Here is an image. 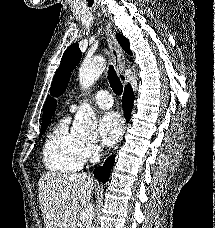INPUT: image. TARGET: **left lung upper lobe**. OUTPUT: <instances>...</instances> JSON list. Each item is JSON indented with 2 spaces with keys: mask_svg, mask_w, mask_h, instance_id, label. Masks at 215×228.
<instances>
[{
  "mask_svg": "<svg viewBox=\"0 0 215 228\" xmlns=\"http://www.w3.org/2000/svg\"><path fill=\"white\" fill-rule=\"evenodd\" d=\"M119 43L123 49L131 55L129 41L121 34L117 35ZM82 56L78 44L70 45L64 52L59 68L57 69L51 86V93L60 96L66 89L71 72L78 65Z\"/></svg>",
  "mask_w": 215,
  "mask_h": 228,
  "instance_id": "5c2ea615",
  "label": "left lung upper lobe"
}]
</instances>
